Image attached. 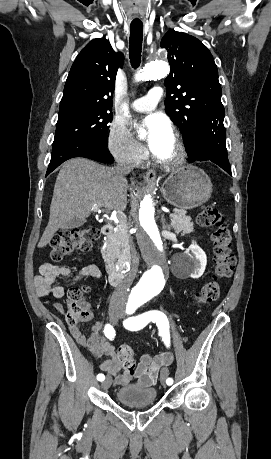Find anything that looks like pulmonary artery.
<instances>
[{
	"instance_id": "e3ab8cb5",
	"label": "pulmonary artery",
	"mask_w": 271,
	"mask_h": 459,
	"mask_svg": "<svg viewBox=\"0 0 271 459\" xmlns=\"http://www.w3.org/2000/svg\"><path fill=\"white\" fill-rule=\"evenodd\" d=\"M160 96V89H150L149 95H145L143 98H138V100L132 103V107L138 112H150L154 110L156 104H160Z\"/></svg>"
}]
</instances>
